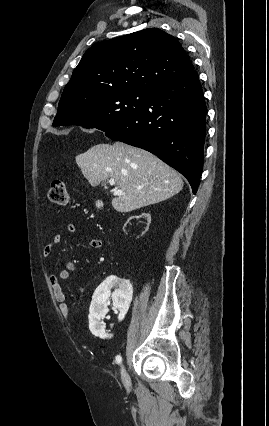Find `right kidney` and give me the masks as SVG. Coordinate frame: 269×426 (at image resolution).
I'll list each match as a JSON object with an SVG mask.
<instances>
[{"label": "right kidney", "instance_id": "right-kidney-1", "mask_svg": "<svg viewBox=\"0 0 269 426\" xmlns=\"http://www.w3.org/2000/svg\"><path fill=\"white\" fill-rule=\"evenodd\" d=\"M145 222L141 224L142 233H138V238H143V234L149 233L151 224L150 214L143 213L141 216H129V220L124 224L123 231L129 221ZM115 291L111 293V289ZM112 296L113 306L120 310L119 319L122 320L129 308L132 299V285L128 280L114 276L107 278L95 291L89 314V329L94 336L106 338L105 325L101 321L108 312L107 300Z\"/></svg>", "mask_w": 269, "mask_h": 426}]
</instances>
